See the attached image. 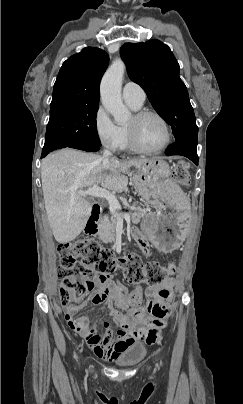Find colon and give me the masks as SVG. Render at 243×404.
<instances>
[{
	"mask_svg": "<svg viewBox=\"0 0 243 404\" xmlns=\"http://www.w3.org/2000/svg\"><path fill=\"white\" fill-rule=\"evenodd\" d=\"M173 176L183 186L190 184L184 164L175 168ZM57 251L60 255V298L71 309L102 277L114 271H121L127 281L136 284H161L175 272L173 265L163 267L156 261L144 263L136 254L115 258L109 249L91 239L60 243ZM140 300V294L133 292L126 297L123 305L132 308Z\"/></svg>",
	"mask_w": 243,
	"mask_h": 404,
	"instance_id": "colon-1",
	"label": "colon"
}]
</instances>
